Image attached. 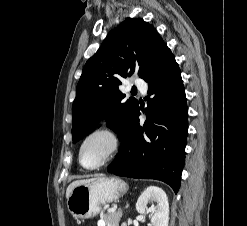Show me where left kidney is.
Returning <instances> with one entry per match:
<instances>
[{"mask_svg": "<svg viewBox=\"0 0 247 226\" xmlns=\"http://www.w3.org/2000/svg\"><path fill=\"white\" fill-rule=\"evenodd\" d=\"M150 202L157 203V209L150 215L151 225L149 226H168L169 223V203L168 197L163 189L150 186L140 195L136 202V210L140 214H148L151 210L147 207Z\"/></svg>", "mask_w": 247, "mask_h": 226, "instance_id": "obj_1", "label": "left kidney"}]
</instances>
